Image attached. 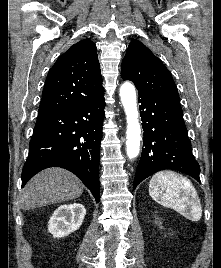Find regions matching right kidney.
Returning <instances> with one entry per match:
<instances>
[{"mask_svg":"<svg viewBox=\"0 0 221 268\" xmlns=\"http://www.w3.org/2000/svg\"><path fill=\"white\" fill-rule=\"evenodd\" d=\"M86 209L82 204L74 203L58 207L48 222V231L54 238L68 236L82 225Z\"/></svg>","mask_w":221,"mask_h":268,"instance_id":"1","label":"right kidney"}]
</instances>
